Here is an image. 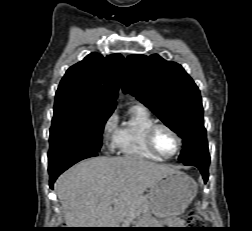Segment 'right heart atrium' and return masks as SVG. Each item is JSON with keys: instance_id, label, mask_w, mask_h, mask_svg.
<instances>
[{"instance_id": "obj_1", "label": "right heart atrium", "mask_w": 252, "mask_h": 231, "mask_svg": "<svg viewBox=\"0 0 252 231\" xmlns=\"http://www.w3.org/2000/svg\"><path fill=\"white\" fill-rule=\"evenodd\" d=\"M118 131V116L116 113H111L106 117L102 126V136L105 140L110 139L114 146V138Z\"/></svg>"}]
</instances>
